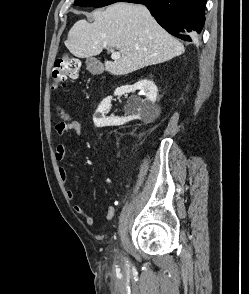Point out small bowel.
<instances>
[{"label":"small bowel","mask_w":249,"mask_h":294,"mask_svg":"<svg viewBox=\"0 0 249 294\" xmlns=\"http://www.w3.org/2000/svg\"><path fill=\"white\" fill-rule=\"evenodd\" d=\"M56 130L57 133L62 135L66 132H71L74 135H80L81 131H82V127L81 124L70 117H64L62 120H60L57 125H56ZM66 151H67V143L66 141L61 142L57 145L56 150H55V158L57 161L61 162L64 160L65 156H66ZM60 171V176L62 181L65 184H70V177L67 173V170L64 168V166H60L59 168ZM67 196L69 198V200H74L76 198V194L73 190L68 189L67 190ZM119 204L118 201H115L113 204L107 205L105 207V212H106V219L107 220H112L114 215H115V206H117ZM74 211L79 214L82 215L85 219V222L87 225L89 226H93L95 223V220L93 218L92 215L88 214L81 205L79 204H75L74 205Z\"/></svg>","instance_id":"small-bowel-1"}]
</instances>
